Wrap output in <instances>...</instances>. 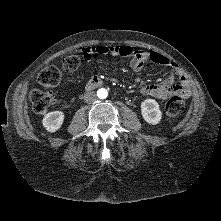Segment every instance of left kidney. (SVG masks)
Returning <instances> with one entry per match:
<instances>
[{
	"label": "left kidney",
	"instance_id": "1",
	"mask_svg": "<svg viewBox=\"0 0 221 221\" xmlns=\"http://www.w3.org/2000/svg\"><path fill=\"white\" fill-rule=\"evenodd\" d=\"M141 114L143 119L151 125H156L162 118L159 104L154 99H146L141 102Z\"/></svg>",
	"mask_w": 221,
	"mask_h": 221
}]
</instances>
